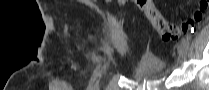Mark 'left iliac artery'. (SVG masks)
<instances>
[{"mask_svg": "<svg viewBox=\"0 0 209 90\" xmlns=\"http://www.w3.org/2000/svg\"><path fill=\"white\" fill-rule=\"evenodd\" d=\"M182 43L185 44L187 47L189 46V41L185 38L182 39Z\"/></svg>", "mask_w": 209, "mask_h": 90, "instance_id": "left-iliac-artery-1", "label": "left iliac artery"}]
</instances>
